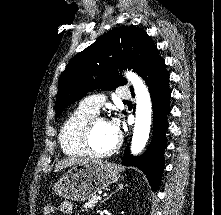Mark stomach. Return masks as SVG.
<instances>
[{"label":"stomach","mask_w":221,"mask_h":215,"mask_svg":"<svg viewBox=\"0 0 221 215\" xmlns=\"http://www.w3.org/2000/svg\"><path fill=\"white\" fill-rule=\"evenodd\" d=\"M120 178L115 164L90 159L69 169L54 184V192L72 201H85Z\"/></svg>","instance_id":"0dacf381"}]
</instances>
